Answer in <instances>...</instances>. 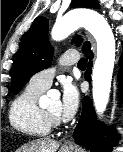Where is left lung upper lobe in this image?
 Segmentation results:
<instances>
[{
	"label": "left lung upper lobe",
	"instance_id": "left-lung-upper-lobe-1",
	"mask_svg": "<svg viewBox=\"0 0 123 152\" xmlns=\"http://www.w3.org/2000/svg\"><path fill=\"white\" fill-rule=\"evenodd\" d=\"M71 7L98 8L99 4L96 0H72ZM48 27L47 19L38 17L26 33L12 70L13 94H17L35 73L50 66L53 49L47 37Z\"/></svg>",
	"mask_w": 123,
	"mask_h": 152
}]
</instances>
